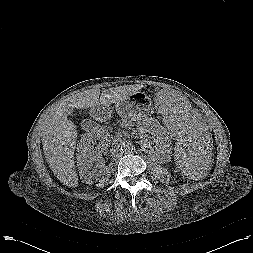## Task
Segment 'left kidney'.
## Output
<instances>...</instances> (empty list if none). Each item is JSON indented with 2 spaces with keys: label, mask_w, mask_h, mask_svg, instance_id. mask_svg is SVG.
I'll return each mask as SVG.
<instances>
[{
  "label": "left kidney",
  "mask_w": 253,
  "mask_h": 253,
  "mask_svg": "<svg viewBox=\"0 0 253 253\" xmlns=\"http://www.w3.org/2000/svg\"><path fill=\"white\" fill-rule=\"evenodd\" d=\"M137 131L143 146L156 156H169L171 152V139L167 129L157 119L148 118L137 126ZM149 134L154 142H150ZM155 143V144H154Z\"/></svg>",
  "instance_id": "obj_1"
}]
</instances>
